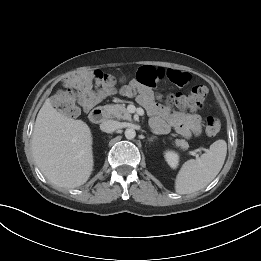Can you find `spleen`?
<instances>
[{
    "mask_svg": "<svg viewBox=\"0 0 261 261\" xmlns=\"http://www.w3.org/2000/svg\"><path fill=\"white\" fill-rule=\"evenodd\" d=\"M227 154V143L219 139L198 159L186 161L175 179L178 194H190L206 187L220 172Z\"/></svg>",
    "mask_w": 261,
    "mask_h": 261,
    "instance_id": "obj_1",
    "label": "spleen"
}]
</instances>
